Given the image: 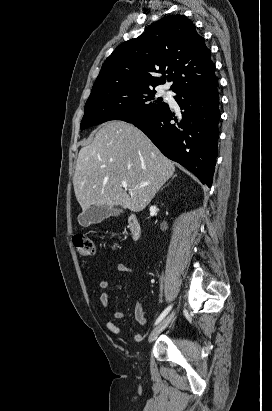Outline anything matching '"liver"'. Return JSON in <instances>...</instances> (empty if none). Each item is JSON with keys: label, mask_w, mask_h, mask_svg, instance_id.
<instances>
[{"label": "liver", "mask_w": 272, "mask_h": 411, "mask_svg": "<svg viewBox=\"0 0 272 411\" xmlns=\"http://www.w3.org/2000/svg\"><path fill=\"white\" fill-rule=\"evenodd\" d=\"M174 171V163L141 130L122 121L108 122L78 154L75 196L83 212L93 206L140 212Z\"/></svg>", "instance_id": "6515ba94"}]
</instances>
